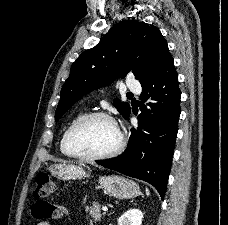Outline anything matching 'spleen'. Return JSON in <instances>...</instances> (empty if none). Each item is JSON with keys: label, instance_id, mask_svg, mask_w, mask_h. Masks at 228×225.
<instances>
[{"label": "spleen", "instance_id": "1", "mask_svg": "<svg viewBox=\"0 0 228 225\" xmlns=\"http://www.w3.org/2000/svg\"><path fill=\"white\" fill-rule=\"evenodd\" d=\"M146 195H150V191H148V189H146Z\"/></svg>", "mask_w": 228, "mask_h": 225}]
</instances>
